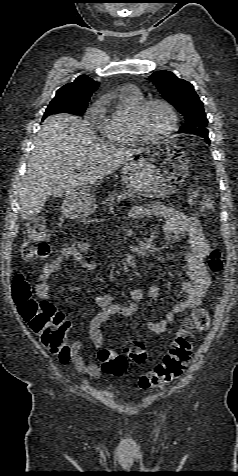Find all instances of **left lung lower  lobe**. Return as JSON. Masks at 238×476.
<instances>
[{
    "mask_svg": "<svg viewBox=\"0 0 238 476\" xmlns=\"http://www.w3.org/2000/svg\"><path fill=\"white\" fill-rule=\"evenodd\" d=\"M201 137L205 138L208 143L210 142V139H209V137H208L207 135H206V136H201Z\"/></svg>",
    "mask_w": 238,
    "mask_h": 476,
    "instance_id": "0a47b994",
    "label": "left lung lower lobe"
}]
</instances>
